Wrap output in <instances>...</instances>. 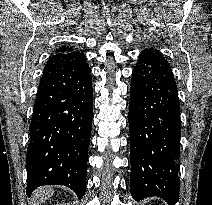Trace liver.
Segmentation results:
<instances>
[{
    "instance_id": "1",
    "label": "liver",
    "mask_w": 212,
    "mask_h": 205,
    "mask_svg": "<svg viewBox=\"0 0 212 205\" xmlns=\"http://www.w3.org/2000/svg\"><path fill=\"white\" fill-rule=\"evenodd\" d=\"M54 194V189L52 187H41L34 191L33 197L36 201L43 203L45 200L49 199Z\"/></svg>"
}]
</instances>
